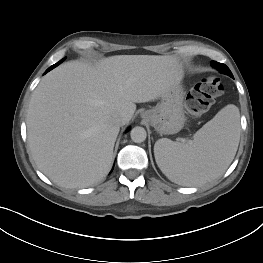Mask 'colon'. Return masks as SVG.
I'll list each match as a JSON object with an SVG mask.
<instances>
[{"label": "colon", "instance_id": "5ec220e1", "mask_svg": "<svg viewBox=\"0 0 263 263\" xmlns=\"http://www.w3.org/2000/svg\"><path fill=\"white\" fill-rule=\"evenodd\" d=\"M223 94V85L217 77L209 76L198 82L187 94L185 108L189 116L204 115L215 100Z\"/></svg>", "mask_w": 263, "mask_h": 263}]
</instances>
